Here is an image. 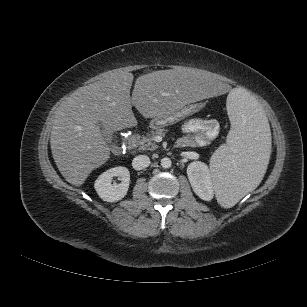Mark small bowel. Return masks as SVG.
<instances>
[{"mask_svg": "<svg viewBox=\"0 0 307 307\" xmlns=\"http://www.w3.org/2000/svg\"><path fill=\"white\" fill-rule=\"evenodd\" d=\"M186 135L179 140L182 146H205L219 133V123L214 119H190L183 123Z\"/></svg>", "mask_w": 307, "mask_h": 307, "instance_id": "1", "label": "small bowel"}]
</instances>
